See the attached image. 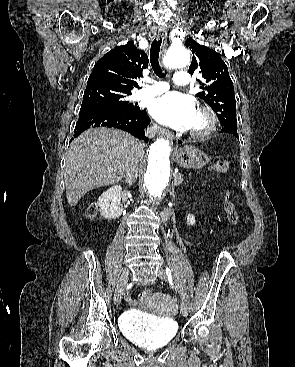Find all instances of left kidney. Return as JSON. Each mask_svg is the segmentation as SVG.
Masks as SVG:
<instances>
[{
	"label": "left kidney",
	"mask_w": 295,
	"mask_h": 367,
	"mask_svg": "<svg viewBox=\"0 0 295 367\" xmlns=\"http://www.w3.org/2000/svg\"><path fill=\"white\" fill-rule=\"evenodd\" d=\"M196 222L194 215L188 214L187 215V224L194 225Z\"/></svg>",
	"instance_id": "left-kidney-1"
}]
</instances>
